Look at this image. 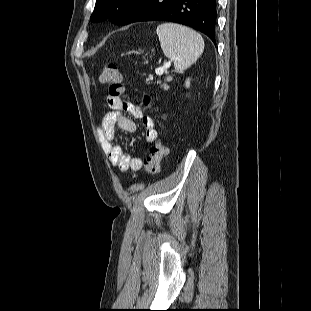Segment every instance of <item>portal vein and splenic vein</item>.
Returning <instances> with one entry per match:
<instances>
[{"instance_id": "18ae733b", "label": "portal vein and splenic vein", "mask_w": 311, "mask_h": 311, "mask_svg": "<svg viewBox=\"0 0 311 311\" xmlns=\"http://www.w3.org/2000/svg\"><path fill=\"white\" fill-rule=\"evenodd\" d=\"M163 71H164V69L163 68H157L156 70H155V73H156V75H162L163 74Z\"/></svg>"}]
</instances>
